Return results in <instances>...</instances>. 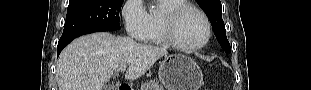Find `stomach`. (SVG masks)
I'll use <instances>...</instances> for the list:
<instances>
[{
    "label": "stomach",
    "instance_id": "obj_1",
    "mask_svg": "<svg viewBox=\"0 0 311 90\" xmlns=\"http://www.w3.org/2000/svg\"><path fill=\"white\" fill-rule=\"evenodd\" d=\"M158 77L166 90H198L203 81L199 66L183 54L166 56L160 64Z\"/></svg>",
    "mask_w": 311,
    "mask_h": 90
}]
</instances>
